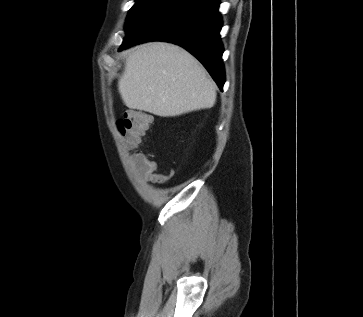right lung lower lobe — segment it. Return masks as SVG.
<instances>
[{"instance_id": "right-lung-lower-lobe-1", "label": "right lung lower lobe", "mask_w": 363, "mask_h": 317, "mask_svg": "<svg viewBox=\"0 0 363 317\" xmlns=\"http://www.w3.org/2000/svg\"><path fill=\"white\" fill-rule=\"evenodd\" d=\"M219 4L218 0H182L150 21L132 40L123 42L120 51L155 40L178 44L205 66L222 89L225 73Z\"/></svg>"}]
</instances>
